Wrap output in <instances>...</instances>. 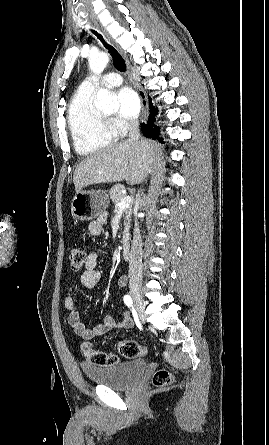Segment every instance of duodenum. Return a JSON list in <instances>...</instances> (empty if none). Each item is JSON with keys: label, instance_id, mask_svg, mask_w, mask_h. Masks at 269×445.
<instances>
[{"label": "duodenum", "instance_id": "1", "mask_svg": "<svg viewBox=\"0 0 269 445\" xmlns=\"http://www.w3.org/2000/svg\"><path fill=\"white\" fill-rule=\"evenodd\" d=\"M121 252L124 259H128L130 257V244L128 241L123 243Z\"/></svg>", "mask_w": 269, "mask_h": 445}]
</instances>
